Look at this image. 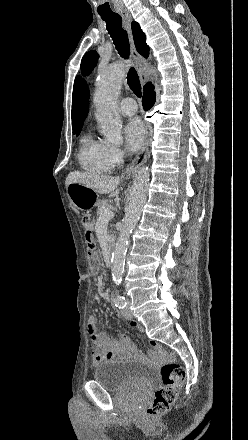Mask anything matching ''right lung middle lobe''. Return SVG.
Listing matches in <instances>:
<instances>
[{
	"mask_svg": "<svg viewBox=\"0 0 248 440\" xmlns=\"http://www.w3.org/2000/svg\"><path fill=\"white\" fill-rule=\"evenodd\" d=\"M79 133H80V130L73 131V134L76 135V136H78Z\"/></svg>",
	"mask_w": 248,
	"mask_h": 440,
	"instance_id": "dd1d6c3e",
	"label": "right lung middle lobe"
}]
</instances>
